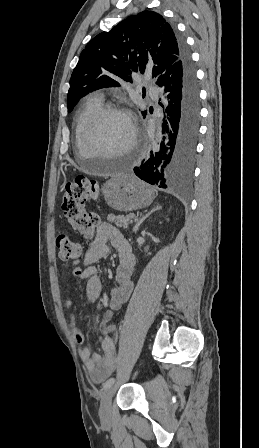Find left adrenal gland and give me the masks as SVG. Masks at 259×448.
I'll use <instances>...</instances> for the list:
<instances>
[{"label": "left adrenal gland", "mask_w": 259, "mask_h": 448, "mask_svg": "<svg viewBox=\"0 0 259 448\" xmlns=\"http://www.w3.org/2000/svg\"><path fill=\"white\" fill-rule=\"evenodd\" d=\"M156 210H161V206H157V208H154V210H151V212H148V214H146V216H142V218H139L138 222H136V226H135L133 232H137V230H139V228H140V224H142V222H144V220H146V218H148V216H150V214H153V212H156Z\"/></svg>", "instance_id": "1"}]
</instances>
